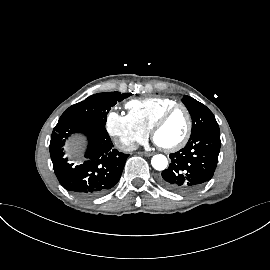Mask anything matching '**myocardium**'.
I'll use <instances>...</instances> for the list:
<instances>
[{"instance_id": "obj_1", "label": "myocardium", "mask_w": 270, "mask_h": 270, "mask_svg": "<svg viewBox=\"0 0 270 270\" xmlns=\"http://www.w3.org/2000/svg\"><path fill=\"white\" fill-rule=\"evenodd\" d=\"M178 109H182L186 114V117H187L186 132H185L184 136L182 137V139L178 143H176L172 146L162 147V146L158 145L161 150H163L164 152H167V153H172V152H176V151L180 150L189 141L191 134H192V129H193V120H192V115H191L190 110L184 104L176 103V104L172 105L171 107L167 108L158 117V119L155 121V123L153 124V126L151 128V137L155 141V135H156L157 131L165 124V122L169 119V117Z\"/></svg>"}]
</instances>
